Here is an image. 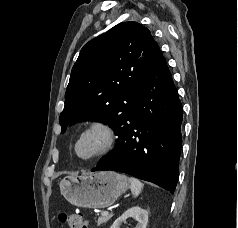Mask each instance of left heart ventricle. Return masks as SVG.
Here are the masks:
<instances>
[{
    "instance_id": "b2bd125f",
    "label": "left heart ventricle",
    "mask_w": 238,
    "mask_h": 228,
    "mask_svg": "<svg viewBox=\"0 0 238 228\" xmlns=\"http://www.w3.org/2000/svg\"><path fill=\"white\" fill-rule=\"evenodd\" d=\"M99 137L96 135H91L86 137L79 145L78 152L82 156H87L91 154L99 145Z\"/></svg>"
}]
</instances>
